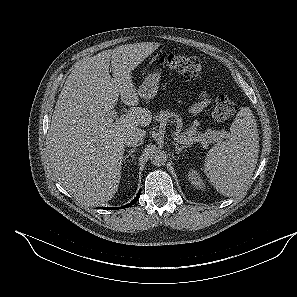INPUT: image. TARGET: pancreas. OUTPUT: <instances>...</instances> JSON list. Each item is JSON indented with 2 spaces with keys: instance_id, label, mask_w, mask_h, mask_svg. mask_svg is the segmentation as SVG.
<instances>
[{
  "instance_id": "pancreas-1",
  "label": "pancreas",
  "mask_w": 297,
  "mask_h": 297,
  "mask_svg": "<svg viewBox=\"0 0 297 297\" xmlns=\"http://www.w3.org/2000/svg\"><path fill=\"white\" fill-rule=\"evenodd\" d=\"M155 120L158 122H170V121L173 122L175 120L177 123H181V118L179 115L167 110L160 111L155 117ZM179 136L186 138V142H182V143H187L191 145L194 142H200L203 145H207L208 143L211 142L213 131L208 129L204 133L198 132L197 128L194 125H192ZM189 138H192V141H189Z\"/></svg>"
}]
</instances>
